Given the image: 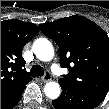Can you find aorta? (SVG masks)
Masks as SVG:
<instances>
[{
	"mask_svg": "<svg viewBox=\"0 0 109 109\" xmlns=\"http://www.w3.org/2000/svg\"><path fill=\"white\" fill-rule=\"evenodd\" d=\"M33 52L36 57L44 62L51 61L54 56V48L51 42L45 38H39L33 43ZM61 88L57 82H48L44 87L45 95L50 99L60 96Z\"/></svg>",
	"mask_w": 109,
	"mask_h": 109,
	"instance_id": "obj_1",
	"label": "aorta"
}]
</instances>
